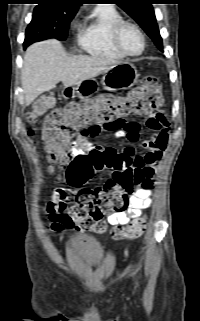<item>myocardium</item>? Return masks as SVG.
Masks as SVG:
<instances>
[{
  "instance_id": "myocardium-1",
  "label": "myocardium",
  "mask_w": 200,
  "mask_h": 321,
  "mask_svg": "<svg viewBox=\"0 0 200 321\" xmlns=\"http://www.w3.org/2000/svg\"><path fill=\"white\" fill-rule=\"evenodd\" d=\"M125 27H132L139 33L142 39V49L138 53H130L123 47L121 43V34ZM112 41L116 49L126 57L140 56L144 53L146 49V37L143 30L138 24L128 20H122L115 25L112 31Z\"/></svg>"
}]
</instances>
